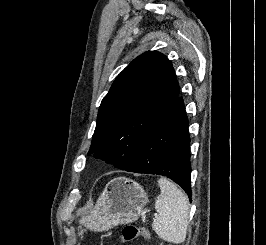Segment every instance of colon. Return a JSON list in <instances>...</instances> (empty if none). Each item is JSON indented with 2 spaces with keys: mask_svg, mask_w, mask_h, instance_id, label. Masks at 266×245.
Listing matches in <instances>:
<instances>
[{
  "mask_svg": "<svg viewBox=\"0 0 266 245\" xmlns=\"http://www.w3.org/2000/svg\"><path fill=\"white\" fill-rule=\"evenodd\" d=\"M139 236L148 237V230L135 225H126L121 232V238L124 241H132Z\"/></svg>",
  "mask_w": 266,
  "mask_h": 245,
  "instance_id": "obj_1",
  "label": "colon"
}]
</instances>
